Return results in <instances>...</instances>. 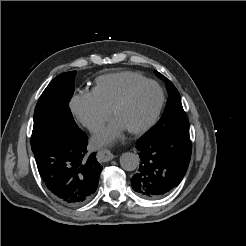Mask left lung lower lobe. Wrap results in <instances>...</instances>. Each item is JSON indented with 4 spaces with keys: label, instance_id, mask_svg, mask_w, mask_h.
I'll return each mask as SVG.
<instances>
[{
    "label": "left lung lower lobe",
    "instance_id": "obj_1",
    "mask_svg": "<svg viewBox=\"0 0 246 246\" xmlns=\"http://www.w3.org/2000/svg\"><path fill=\"white\" fill-rule=\"evenodd\" d=\"M136 149L141 163L131 184L140 196L161 198L179 185L191 157L189 131L145 134L136 142Z\"/></svg>",
    "mask_w": 246,
    "mask_h": 246
}]
</instances>
